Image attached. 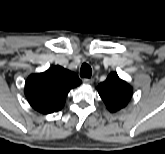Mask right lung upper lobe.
<instances>
[{"label": "right lung upper lobe", "mask_w": 165, "mask_h": 154, "mask_svg": "<svg viewBox=\"0 0 165 154\" xmlns=\"http://www.w3.org/2000/svg\"><path fill=\"white\" fill-rule=\"evenodd\" d=\"M80 84L74 72L57 65L30 75L25 83V95L36 111L49 114L61 110L68 92Z\"/></svg>", "instance_id": "right-lung-upper-lobe-1"}]
</instances>
